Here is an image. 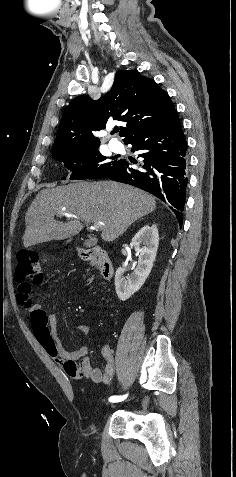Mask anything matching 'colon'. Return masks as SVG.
<instances>
[{"instance_id": "1", "label": "colon", "mask_w": 236, "mask_h": 477, "mask_svg": "<svg viewBox=\"0 0 236 477\" xmlns=\"http://www.w3.org/2000/svg\"><path fill=\"white\" fill-rule=\"evenodd\" d=\"M15 279L18 283V301L26 306L31 301L33 288L44 281V270L37 252L26 250L17 254Z\"/></svg>"}]
</instances>
